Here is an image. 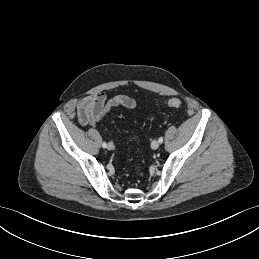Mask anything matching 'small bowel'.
I'll list each match as a JSON object with an SVG mask.
<instances>
[{
	"label": "small bowel",
	"instance_id": "small-bowel-1",
	"mask_svg": "<svg viewBox=\"0 0 259 259\" xmlns=\"http://www.w3.org/2000/svg\"><path fill=\"white\" fill-rule=\"evenodd\" d=\"M135 107L134 99L129 96L117 95L107 99L105 94L100 93L87 96L78 103V119L83 126L97 125L113 108L132 111Z\"/></svg>",
	"mask_w": 259,
	"mask_h": 259
}]
</instances>
